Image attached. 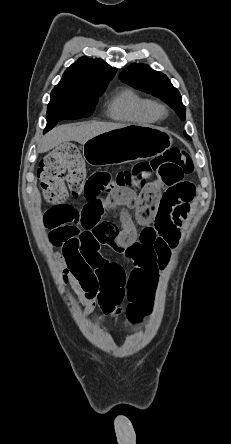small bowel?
Instances as JSON below:
<instances>
[{"instance_id": "c3829d8e", "label": "small bowel", "mask_w": 231, "mask_h": 444, "mask_svg": "<svg viewBox=\"0 0 231 444\" xmlns=\"http://www.w3.org/2000/svg\"><path fill=\"white\" fill-rule=\"evenodd\" d=\"M108 171L92 174L86 183L82 206L65 204L71 220L50 230V240L63 251H77L83 260L79 268L69 269L64 257L59 265L65 280L78 282L85 301L84 316L99 306L103 315L121 311L124 298L140 294L158 278L168 264L171 251L180 238L182 221L187 215L195 187L183 182L178 188L167 187L159 181H147L142 188H116L109 196L100 197L113 181ZM141 189L139 195L135 190ZM120 208L122 226L106 221V212ZM134 209V219L128 210ZM136 225L141 227L138 234ZM109 247L119 261L105 255ZM130 266L129 271L123 267Z\"/></svg>"}]
</instances>
